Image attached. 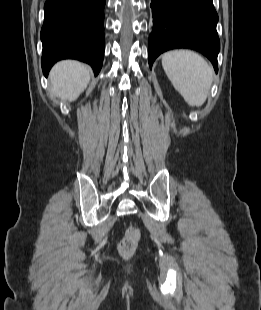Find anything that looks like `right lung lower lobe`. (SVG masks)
I'll use <instances>...</instances> for the list:
<instances>
[{
	"mask_svg": "<svg viewBox=\"0 0 261 310\" xmlns=\"http://www.w3.org/2000/svg\"><path fill=\"white\" fill-rule=\"evenodd\" d=\"M105 0H46L41 29L42 69L65 58L90 64L98 75L104 56Z\"/></svg>",
	"mask_w": 261,
	"mask_h": 310,
	"instance_id": "right-lung-lower-lobe-1",
	"label": "right lung lower lobe"
}]
</instances>
